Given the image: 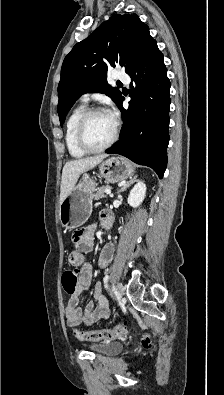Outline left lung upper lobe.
<instances>
[{
  "label": "left lung upper lobe",
  "mask_w": 224,
  "mask_h": 395,
  "mask_svg": "<svg viewBox=\"0 0 224 395\" xmlns=\"http://www.w3.org/2000/svg\"><path fill=\"white\" fill-rule=\"evenodd\" d=\"M155 40L137 15H113L65 57L58 85L62 125L75 101L86 92L108 95L116 104L122 93L107 83V70L119 64L126 73Z\"/></svg>",
  "instance_id": "1"
}]
</instances>
